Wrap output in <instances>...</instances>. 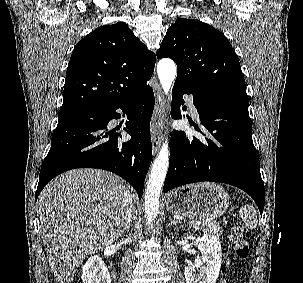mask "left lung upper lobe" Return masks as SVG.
I'll use <instances>...</instances> for the list:
<instances>
[{
    "mask_svg": "<svg viewBox=\"0 0 303 283\" xmlns=\"http://www.w3.org/2000/svg\"><path fill=\"white\" fill-rule=\"evenodd\" d=\"M157 57L175 61V82L187 89L248 102L244 76L230 42L204 22L177 19L167 30Z\"/></svg>",
    "mask_w": 303,
    "mask_h": 283,
    "instance_id": "1",
    "label": "left lung upper lobe"
}]
</instances>
